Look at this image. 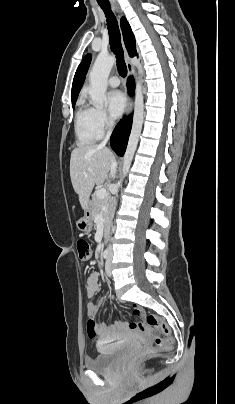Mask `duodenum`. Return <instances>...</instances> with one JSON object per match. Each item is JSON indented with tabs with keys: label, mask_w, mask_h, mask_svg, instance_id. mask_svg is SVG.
<instances>
[{
	"label": "duodenum",
	"mask_w": 235,
	"mask_h": 404,
	"mask_svg": "<svg viewBox=\"0 0 235 404\" xmlns=\"http://www.w3.org/2000/svg\"><path fill=\"white\" fill-rule=\"evenodd\" d=\"M107 237H108L107 234H105L104 237H103V242L106 241Z\"/></svg>",
	"instance_id": "obj_1"
}]
</instances>
